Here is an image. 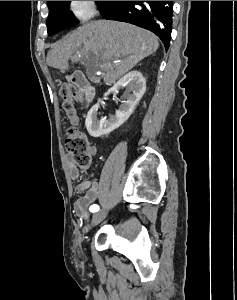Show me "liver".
I'll list each match as a JSON object with an SVG mask.
<instances>
[{
	"label": "liver",
	"instance_id": "obj_1",
	"mask_svg": "<svg viewBox=\"0 0 237 300\" xmlns=\"http://www.w3.org/2000/svg\"><path fill=\"white\" fill-rule=\"evenodd\" d=\"M158 47V37L145 29L117 21H90L55 43L46 63L65 73L69 59L87 65L88 55H96L98 61H102L99 69L106 71L104 83L111 85Z\"/></svg>",
	"mask_w": 237,
	"mask_h": 300
}]
</instances>
